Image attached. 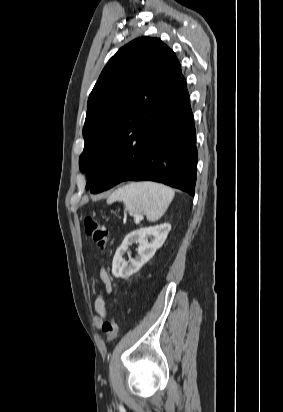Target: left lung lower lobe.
<instances>
[{"instance_id":"1","label":"left lung lower lobe","mask_w":283,"mask_h":412,"mask_svg":"<svg viewBox=\"0 0 283 412\" xmlns=\"http://www.w3.org/2000/svg\"><path fill=\"white\" fill-rule=\"evenodd\" d=\"M197 160L194 118L185 83L140 152H112L95 178V193L123 181L150 180L194 196Z\"/></svg>"}]
</instances>
